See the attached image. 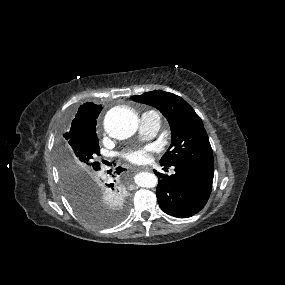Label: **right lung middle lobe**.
Here are the masks:
<instances>
[{"label": "right lung middle lobe", "instance_id": "dd1d6c3e", "mask_svg": "<svg viewBox=\"0 0 285 285\" xmlns=\"http://www.w3.org/2000/svg\"><path fill=\"white\" fill-rule=\"evenodd\" d=\"M99 155L96 134L72 140L61 139L57 145L60 180L71 206L88 223L107 227L120 218L126 198L119 193L117 184L112 190L106 186L110 180H99L97 174L100 167L95 161ZM103 195L107 202L103 201ZM113 208L121 212H114Z\"/></svg>", "mask_w": 285, "mask_h": 285}]
</instances>
